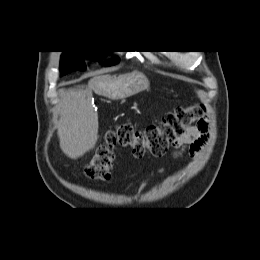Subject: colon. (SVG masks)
I'll return each instance as SVG.
<instances>
[{
  "label": "colon",
  "mask_w": 260,
  "mask_h": 260,
  "mask_svg": "<svg viewBox=\"0 0 260 260\" xmlns=\"http://www.w3.org/2000/svg\"><path fill=\"white\" fill-rule=\"evenodd\" d=\"M203 114L201 106L193 105L164 114L159 123L149 125L144 130H137L130 123L118 124L105 132L103 141L85 168L86 176L91 180H107L116 146L131 148L138 158L146 152L155 157L165 155L188 128L203 120Z\"/></svg>",
  "instance_id": "5ec220e1"
}]
</instances>
